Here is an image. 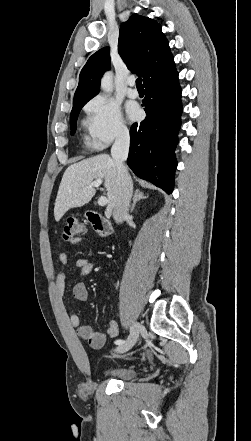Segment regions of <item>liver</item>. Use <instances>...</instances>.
<instances>
[{
    "label": "liver",
    "mask_w": 251,
    "mask_h": 441,
    "mask_svg": "<svg viewBox=\"0 0 251 441\" xmlns=\"http://www.w3.org/2000/svg\"><path fill=\"white\" fill-rule=\"evenodd\" d=\"M98 179H104L108 200L105 216L110 217L118 197V173L113 159L107 154H100L74 163L66 169L55 201V220L60 221L69 209L87 204L96 190L93 187L83 188Z\"/></svg>",
    "instance_id": "1"
}]
</instances>
